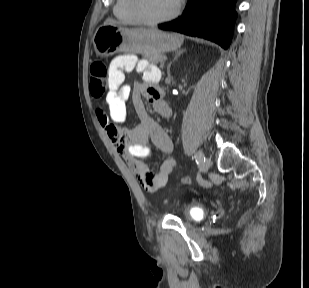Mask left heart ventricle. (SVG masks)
Instances as JSON below:
<instances>
[{
  "label": "left heart ventricle",
  "mask_w": 309,
  "mask_h": 288,
  "mask_svg": "<svg viewBox=\"0 0 309 288\" xmlns=\"http://www.w3.org/2000/svg\"><path fill=\"white\" fill-rule=\"evenodd\" d=\"M178 0H142L143 13L152 19L166 16L174 10Z\"/></svg>",
  "instance_id": "b2bd125f"
}]
</instances>
